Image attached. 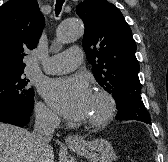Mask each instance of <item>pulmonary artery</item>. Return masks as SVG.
I'll use <instances>...</instances> for the list:
<instances>
[{"label":"pulmonary artery","instance_id":"1","mask_svg":"<svg viewBox=\"0 0 168 162\" xmlns=\"http://www.w3.org/2000/svg\"><path fill=\"white\" fill-rule=\"evenodd\" d=\"M82 61V49L78 46H74L48 58L43 65V69L49 74H64L77 68Z\"/></svg>","mask_w":168,"mask_h":162}]
</instances>
